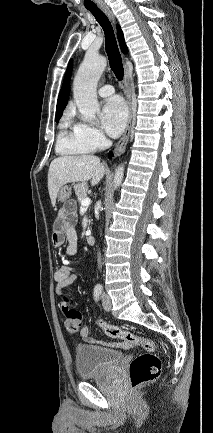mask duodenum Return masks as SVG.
Returning a JSON list of instances; mask_svg holds the SVG:
<instances>
[{
	"label": "duodenum",
	"mask_w": 213,
	"mask_h": 433,
	"mask_svg": "<svg viewBox=\"0 0 213 433\" xmlns=\"http://www.w3.org/2000/svg\"><path fill=\"white\" fill-rule=\"evenodd\" d=\"M87 242L88 244L93 245L95 243V237L93 235H88Z\"/></svg>",
	"instance_id": "obj_1"
}]
</instances>
